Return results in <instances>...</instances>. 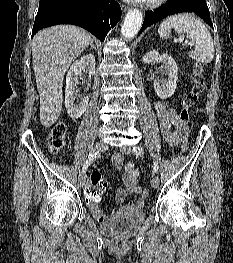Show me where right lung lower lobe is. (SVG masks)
Masks as SVG:
<instances>
[{"label": "right lung lower lobe", "instance_id": "obj_1", "mask_svg": "<svg viewBox=\"0 0 233 263\" xmlns=\"http://www.w3.org/2000/svg\"><path fill=\"white\" fill-rule=\"evenodd\" d=\"M120 19L121 8L114 0H60L38 10L32 36L45 27L74 24L104 41Z\"/></svg>", "mask_w": 233, "mask_h": 263}]
</instances>
